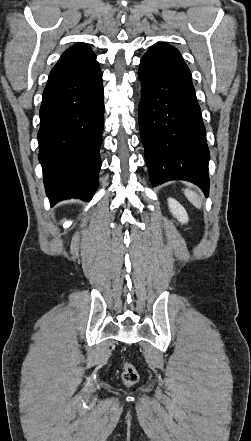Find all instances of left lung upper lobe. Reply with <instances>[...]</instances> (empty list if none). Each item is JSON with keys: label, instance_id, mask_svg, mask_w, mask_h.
<instances>
[{"label": "left lung upper lobe", "instance_id": "5c2ea615", "mask_svg": "<svg viewBox=\"0 0 251 441\" xmlns=\"http://www.w3.org/2000/svg\"><path fill=\"white\" fill-rule=\"evenodd\" d=\"M159 44H166V43H163V42H159Z\"/></svg>", "mask_w": 251, "mask_h": 441}]
</instances>
